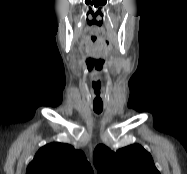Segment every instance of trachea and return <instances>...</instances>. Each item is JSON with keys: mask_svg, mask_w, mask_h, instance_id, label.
I'll list each match as a JSON object with an SVG mask.
<instances>
[{"mask_svg": "<svg viewBox=\"0 0 187 174\" xmlns=\"http://www.w3.org/2000/svg\"><path fill=\"white\" fill-rule=\"evenodd\" d=\"M102 108L99 109V108H94V112L97 113V114H100L102 112Z\"/></svg>", "mask_w": 187, "mask_h": 174, "instance_id": "trachea-1", "label": "trachea"}]
</instances>
